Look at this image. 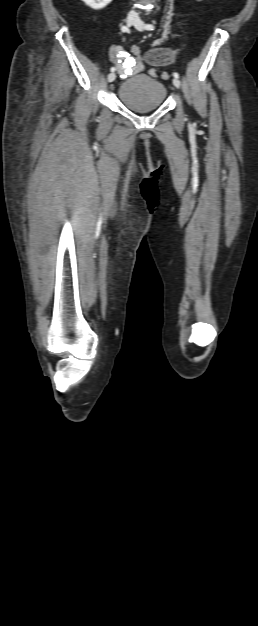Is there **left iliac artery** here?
<instances>
[{"label":"left iliac artery","mask_w":258,"mask_h":626,"mask_svg":"<svg viewBox=\"0 0 258 626\" xmlns=\"http://www.w3.org/2000/svg\"><path fill=\"white\" fill-rule=\"evenodd\" d=\"M144 27H145V29H147V30H154V25H152V24H146ZM173 76H174L175 78H179V74H178L177 72H174V73H173Z\"/></svg>","instance_id":"44dca946"}]
</instances>
